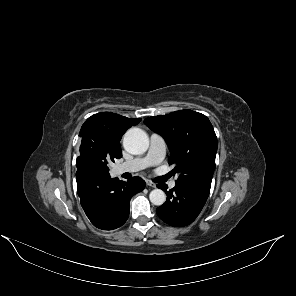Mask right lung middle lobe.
Masks as SVG:
<instances>
[{
  "label": "right lung middle lobe",
  "instance_id": "right-lung-middle-lobe-1",
  "mask_svg": "<svg viewBox=\"0 0 296 296\" xmlns=\"http://www.w3.org/2000/svg\"><path fill=\"white\" fill-rule=\"evenodd\" d=\"M79 157L90 160L96 166L97 170L104 175H109L108 164L119 158V156L108 147L89 142H81Z\"/></svg>",
  "mask_w": 296,
  "mask_h": 296
}]
</instances>
